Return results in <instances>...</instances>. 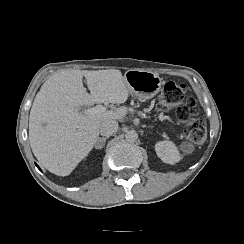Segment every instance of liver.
Wrapping results in <instances>:
<instances>
[{"instance_id": "liver-1", "label": "liver", "mask_w": 244, "mask_h": 244, "mask_svg": "<svg viewBox=\"0 0 244 244\" xmlns=\"http://www.w3.org/2000/svg\"><path fill=\"white\" fill-rule=\"evenodd\" d=\"M83 76L91 94L83 87ZM129 96L120 70H62L47 79L36 94L29 116V141L37 160L51 173L69 175L92 150L99 125L127 114L116 110L88 114L81 106L122 104Z\"/></svg>"}]
</instances>
